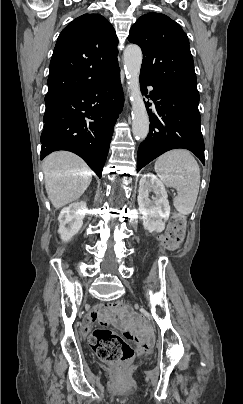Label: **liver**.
<instances>
[{
	"label": "liver",
	"instance_id": "liver-1",
	"mask_svg": "<svg viewBox=\"0 0 243 404\" xmlns=\"http://www.w3.org/2000/svg\"><path fill=\"white\" fill-rule=\"evenodd\" d=\"M45 188L54 208L76 202L92 180L93 172L71 152H53L42 164Z\"/></svg>",
	"mask_w": 243,
	"mask_h": 404
}]
</instances>
